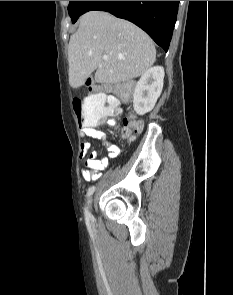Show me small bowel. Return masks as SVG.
<instances>
[{"mask_svg":"<svg viewBox=\"0 0 233 295\" xmlns=\"http://www.w3.org/2000/svg\"><path fill=\"white\" fill-rule=\"evenodd\" d=\"M81 134L83 137L97 139L107 147L108 157L99 159L96 151H91L87 156L90 149L89 141L84 140L81 143L80 157L84 159L82 176L85 180H96L101 176V171L107 167L109 159L116 158L120 154V148L106 140L104 132L96 129L93 125L84 126L81 129Z\"/></svg>","mask_w":233,"mask_h":295,"instance_id":"c3829d8e","label":"small bowel"}]
</instances>
